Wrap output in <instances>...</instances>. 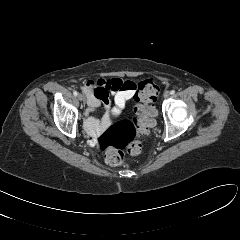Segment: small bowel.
I'll return each mask as SVG.
<instances>
[{
    "label": "small bowel",
    "mask_w": 240,
    "mask_h": 240,
    "mask_svg": "<svg viewBox=\"0 0 240 240\" xmlns=\"http://www.w3.org/2000/svg\"><path fill=\"white\" fill-rule=\"evenodd\" d=\"M136 84L119 78L89 80L83 87L88 104L84 126L91 136L101 133L124 108L126 102L134 97ZM114 96L112 106L109 96ZM103 105L105 113L101 119L90 115L91 112Z\"/></svg>",
    "instance_id": "c3829d8e"
}]
</instances>
